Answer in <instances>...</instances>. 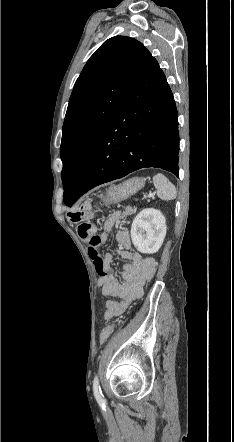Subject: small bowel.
Listing matches in <instances>:
<instances>
[{
    "instance_id": "obj_1",
    "label": "small bowel",
    "mask_w": 234,
    "mask_h": 442,
    "mask_svg": "<svg viewBox=\"0 0 234 442\" xmlns=\"http://www.w3.org/2000/svg\"><path fill=\"white\" fill-rule=\"evenodd\" d=\"M128 213L129 210L116 211L111 214L104 223V231L99 236V243L93 248L89 247L88 250L99 275L97 285L101 293L108 297L104 312V318L107 320L122 314L133 300L142 296L144 285L153 277L156 267L152 257H144L130 251V235L124 229L116 232L118 255L125 261L120 278L111 268L113 255L106 254L103 257L99 255L98 248L104 245L110 231L122 222Z\"/></svg>"
}]
</instances>
